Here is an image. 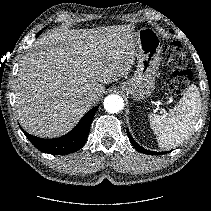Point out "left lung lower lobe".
I'll return each instance as SVG.
<instances>
[{"instance_id":"0a47b994","label":"left lung lower lobe","mask_w":211,"mask_h":211,"mask_svg":"<svg viewBox=\"0 0 211 211\" xmlns=\"http://www.w3.org/2000/svg\"><path fill=\"white\" fill-rule=\"evenodd\" d=\"M127 134H128V137H129V140H130V143L140 152L144 153V154H148V155H159V154H165L167 152H152V151H149V150H146L144 148H142L141 146H139L133 139L132 137L130 136L129 132L127 131Z\"/></svg>"}]
</instances>
